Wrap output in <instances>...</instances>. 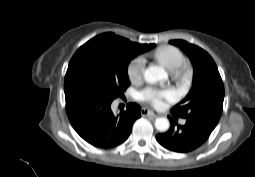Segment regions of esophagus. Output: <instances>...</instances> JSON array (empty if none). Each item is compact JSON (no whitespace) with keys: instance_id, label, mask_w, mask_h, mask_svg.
Listing matches in <instances>:
<instances>
[{"instance_id":"34e87169","label":"esophagus","mask_w":255,"mask_h":177,"mask_svg":"<svg viewBox=\"0 0 255 177\" xmlns=\"http://www.w3.org/2000/svg\"><path fill=\"white\" fill-rule=\"evenodd\" d=\"M141 114L144 116H152L154 118L159 117L161 115L160 113L149 109H142Z\"/></svg>"}]
</instances>
